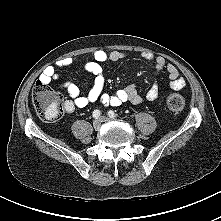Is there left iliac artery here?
I'll use <instances>...</instances> for the list:
<instances>
[{
	"label": "left iliac artery",
	"instance_id": "left-iliac-artery-1",
	"mask_svg": "<svg viewBox=\"0 0 221 221\" xmlns=\"http://www.w3.org/2000/svg\"><path fill=\"white\" fill-rule=\"evenodd\" d=\"M108 116L111 118H115L117 115L114 113V111L110 110L108 111Z\"/></svg>",
	"mask_w": 221,
	"mask_h": 221
}]
</instances>
